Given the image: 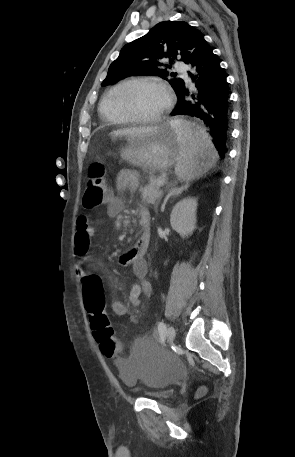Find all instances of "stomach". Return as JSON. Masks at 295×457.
<instances>
[{
  "label": "stomach",
  "mask_w": 295,
  "mask_h": 457,
  "mask_svg": "<svg viewBox=\"0 0 295 457\" xmlns=\"http://www.w3.org/2000/svg\"><path fill=\"white\" fill-rule=\"evenodd\" d=\"M120 156L148 173L164 171L177 163L180 157L176 130L170 123H163L150 135L128 140L120 150ZM207 162L212 161L208 159Z\"/></svg>",
  "instance_id": "0dacf381"
}]
</instances>
